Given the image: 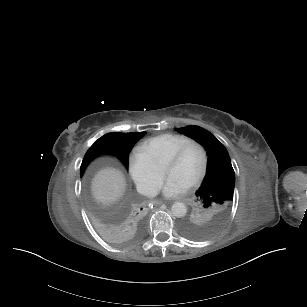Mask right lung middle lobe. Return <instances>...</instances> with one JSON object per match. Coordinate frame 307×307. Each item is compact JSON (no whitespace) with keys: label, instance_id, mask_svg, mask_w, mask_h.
<instances>
[{"label":"right lung middle lobe","instance_id":"dd1d6c3e","mask_svg":"<svg viewBox=\"0 0 307 307\" xmlns=\"http://www.w3.org/2000/svg\"><path fill=\"white\" fill-rule=\"evenodd\" d=\"M140 138L141 137H130L125 135H110V134L102 136L89 148V150L85 154L81 164V174H83L87 164L95 156L100 154L114 155L118 159H120L125 165H128L129 152L133 147V145Z\"/></svg>","mask_w":307,"mask_h":307}]
</instances>
